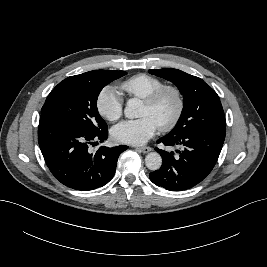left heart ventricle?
<instances>
[{"instance_id": "b2bd125f", "label": "left heart ventricle", "mask_w": 267, "mask_h": 267, "mask_svg": "<svg viewBox=\"0 0 267 267\" xmlns=\"http://www.w3.org/2000/svg\"><path fill=\"white\" fill-rule=\"evenodd\" d=\"M175 110H176L175 96L172 93L168 92L161 98V100L155 107H149L143 103L141 106L139 116L151 117L159 127L171 119Z\"/></svg>"}]
</instances>
